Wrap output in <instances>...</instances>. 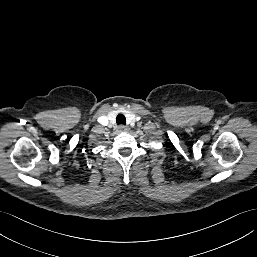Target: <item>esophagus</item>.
<instances>
[{"label": "esophagus", "mask_w": 257, "mask_h": 257, "mask_svg": "<svg viewBox=\"0 0 257 257\" xmlns=\"http://www.w3.org/2000/svg\"><path fill=\"white\" fill-rule=\"evenodd\" d=\"M128 130V127L124 126V125H120L119 126V131L120 132H126Z\"/></svg>", "instance_id": "esophagus-1"}]
</instances>
